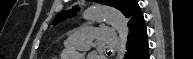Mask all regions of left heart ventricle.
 <instances>
[{
    "label": "left heart ventricle",
    "instance_id": "1",
    "mask_svg": "<svg viewBox=\"0 0 193 59\" xmlns=\"http://www.w3.org/2000/svg\"><path fill=\"white\" fill-rule=\"evenodd\" d=\"M74 51L81 54V59H84V55L87 53L88 49H74Z\"/></svg>",
    "mask_w": 193,
    "mask_h": 59
}]
</instances>
